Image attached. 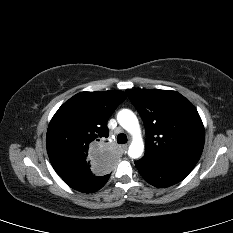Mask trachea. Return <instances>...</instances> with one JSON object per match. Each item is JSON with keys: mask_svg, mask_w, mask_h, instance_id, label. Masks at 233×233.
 Here are the masks:
<instances>
[{"mask_svg": "<svg viewBox=\"0 0 233 233\" xmlns=\"http://www.w3.org/2000/svg\"><path fill=\"white\" fill-rule=\"evenodd\" d=\"M117 142L118 144H124L127 142V136L125 134H119L117 136Z\"/></svg>", "mask_w": 233, "mask_h": 233, "instance_id": "obj_1", "label": "trachea"}]
</instances>
